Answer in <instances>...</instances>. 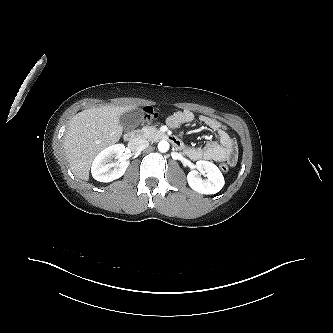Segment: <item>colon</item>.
Segmentation results:
<instances>
[{"label": "colon", "instance_id": "colon-1", "mask_svg": "<svg viewBox=\"0 0 333 333\" xmlns=\"http://www.w3.org/2000/svg\"><path fill=\"white\" fill-rule=\"evenodd\" d=\"M143 111H144V118H143V123L144 124H149L150 122H152L157 117V113L151 107H145L143 109ZM220 169L222 171H227L229 169L228 163L226 161H223L220 164Z\"/></svg>", "mask_w": 333, "mask_h": 333}]
</instances>
